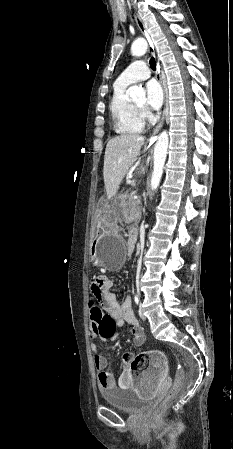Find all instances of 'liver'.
Listing matches in <instances>:
<instances>
[{
  "label": "liver",
  "mask_w": 233,
  "mask_h": 449,
  "mask_svg": "<svg viewBox=\"0 0 233 449\" xmlns=\"http://www.w3.org/2000/svg\"><path fill=\"white\" fill-rule=\"evenodd\" d=\"M144 141L145 138L138 134H122L108 141L103 166L108 200L116 195L123 178L137 160Z\"/></svg>",
  "instance_id": "obj_1"
}]
</instances>
